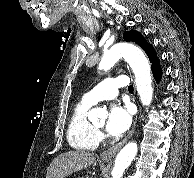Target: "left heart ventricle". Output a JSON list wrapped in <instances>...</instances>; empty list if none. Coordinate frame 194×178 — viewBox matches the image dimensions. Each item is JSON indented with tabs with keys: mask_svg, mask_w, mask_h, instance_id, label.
I'll use <instances>...</instances> for the list:
<instances>
[{
	"mask_svg": "<svg viewBox=\"0 0 194 178\" xmlns=\"http://www.w3.org/2000/svg\"><path fill=\"white\" fill-rule=\"evenodd\" d=\"M102 126V124H100L98 127H101Z\"/></svg>",
	"mask_w": 194,
	"mask_h": 178,
	"instance_id": "obj_1",
	"label": "left heart ventricle"
}]
</instances>
